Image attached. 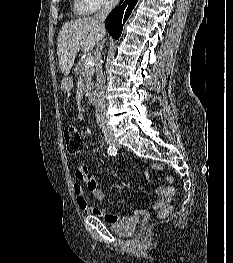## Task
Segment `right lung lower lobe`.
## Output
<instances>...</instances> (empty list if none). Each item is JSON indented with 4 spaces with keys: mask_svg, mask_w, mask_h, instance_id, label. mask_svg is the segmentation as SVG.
I'll use <instances>...</instances> for the list:
<instances>
[{
    "mask_svg": "<svg viewBox=\"0 0 233 263\" xmlns=\"http://www.w3.org/2000/svg\"><path fill=\"white\" fill-rule=\"evenodd\" d=\"M138 0H121L120 5L113 9L105 20V27L109 34L118 39L123 25L130 16Z\"/></svg>",
    "mask_w": 233,
    "mask_h": 263,
    "instance_id": "obj_1",
    "label": "right lung lower lobe"
}]
</instances>
